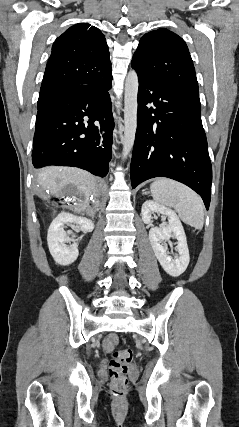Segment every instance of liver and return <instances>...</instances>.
Listing matches in <instances>:
<instances>
[{"label":"liver","instance_id":"liver-1","mask_svg":"<svg viewBox=\"0 0 239 427\" xmlns=\"http://www.w3.org/2000/svg\"><path fill=\"white\" fill-rule=\"evenodd\" d=\"M38 184L42 197H46L45 192H50L51 195L59 197L68 185H73L77 190L76 194L84 196V200H80L77 205L79 211L89 207L90 196L95 195L97 188V180L94 175L73 167L52 166L43 169L38 173ZM73 200L76 201L77 199L74 197ZM93 202L98 205V201Z\"/></svg>","mask_w":239,"mask_h":427}]
</instances>
